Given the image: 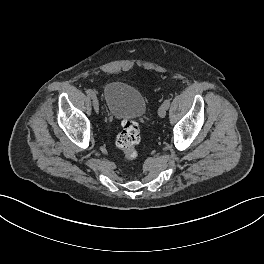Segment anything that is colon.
Segmentation results:
<instances>
[{"instance_id":"5ec220e1","label":"colon","mask_w":264,"mask_h":264,"mask_svg":"<svg viewBox=\"0 0 264 264\" xmlns=\"http://www.w3.org/2000/svg\"><path fill=\"white\" fill-rule=\"evenodd\" d=\"M140 142L139 124L132 119L122 122L121 131L116 137V145L124 153L127 160L132 161L137 158V145Z\"/></svg>"}]
</instances>
